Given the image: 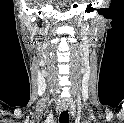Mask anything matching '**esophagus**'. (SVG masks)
<instances>
[{"mask_svg": "<svg viewBox=\"0 0 124 123\" xmlns=\"http://www.w3.org/2000/svg\"><path fill=\"white\" fill-rule=\"evenodd\" d=\"M62 110L63 111H68L69 110V104L67 102H64L63 105H62Z\"/></svg>", "mask_w": 124, "mask_h": 123, "instance_id": "1", "label": "esophagus"}]
</instances>
